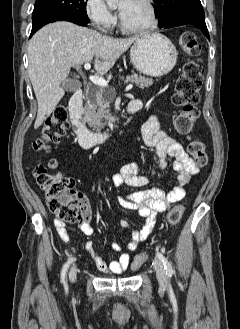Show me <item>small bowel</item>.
Returning a JSON list of instances; mask_svg holds the SVG:
<instances>
[{
  "mask_svg": "<svg viewBox=\"0 0 240 329\" xmlns=\"http://www.w3.org/2000/svg\"><path fill=\"white\" fill-rule=\"evenodd\" d=\"M134 101L137 103L139 109L143 107V100L136 99ZM142 140L146 147L155 151L159 169L164 172L170 166L177 172V177L175 185L166 191L160 187H148L150 179L144 174L142 167L138 163H128L121 168L119 173L112 176L111 183L113 186L117 187L127 184L131 187L141 189L118 197V201L122 207L136 211L144 219L141 229H136L126 219L121 220V226L131 235L130 241L126 244L128 251L137 249L146 240L155 226L158 213L166 211L169 207L184 198L185 186L189 184L191 177L199 171L198 166L186 153L181 144L161 129L160 121L156 115H153L143 125ZM91 217L90 205L88 202L82 201L79 225L81 231L86 236L94 234ZM54 225L60 238L64 242H67L69 237L65 224L56 220ZM83 247L90 253L94 264L100 271L120 274L129 266L130 255L128 252H123L117 259L106 263L93 242L85 241ZM112 249L116 252H121L122 246L117 242H113Z\"/></svg>",
  "mask_w": 240,
  "mask_h": 329,
  "instance_id": "small-bowel-1",
  "label": "small bowel"
}]
</instances>
